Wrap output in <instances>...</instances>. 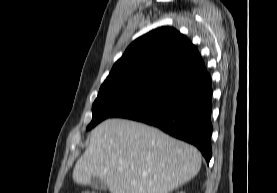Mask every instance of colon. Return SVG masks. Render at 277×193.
Masks as SVG:
<instances>
[{
    "label": "colon",
    "instance_id": "1",
    "mask_svg": "<svg viewBox=\"0 0 277 193\" xmlns=\"http://www.w3.org/2000/svg\"><path fill=\"white\" fill-rule=\"evenodd\" d=\"M81 193H96V192H93V191H83Z\"/></svg>",
    "mask_w": 277,
    "mask_h": 193
}]
</instances>
